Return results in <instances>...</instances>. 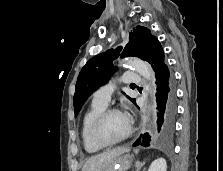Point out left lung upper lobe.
<instances>
[{
  "mask_svg": "<svg viewBox=\"0 0 223 171\" xmlns=\"http://www.w3.org/2000/svg\"><path fill=\"white\" fill-rule=\"evenodd\" d=\"M158 39L150 30L143 26H137L129 35V41L124 47L109 49L91 58L79 73L74 94L75 117L78 115L87 98L100 86L104 85L115 71L113 60L118 58L135 56L147 60L153 45ZM133 103L135 100L127 96Z\"/></svg>",
  "mask_w": 223,
  "mask_h": 171,
  "instance_id": "5c2ea615",
  "label": "left lung upper lobe"
}]
</instances>
